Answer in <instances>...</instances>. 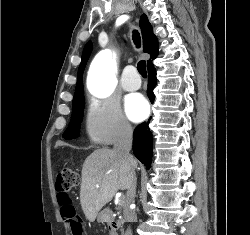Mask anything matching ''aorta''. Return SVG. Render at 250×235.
I'll list each match as a JSON object with an SVG mask.
<instances>
[{
	"mask_svg": "<svg viewBox=\"0 0 250 235\" xmlns=\"http://www.w3.org/2000/svg\"><path fill=\"white\" fill-rule=\"evenodd\" d=\"M116 80V66L111 52L101 51L95 58L89 74V89L100 97L108 96Z\"/></svg>",
	"mask_w": 250,
	"mask_h": 235,
	"instance_id": "762f6f07",
	"label": "aorta"
}]
</instances>
